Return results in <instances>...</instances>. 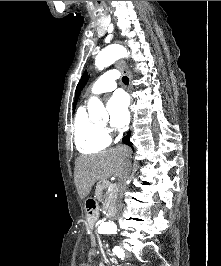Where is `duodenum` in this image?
<instances>
[{
    "instance_id": "obj_1",
    "label": "duodenum",
    "mask_w": 221,
    "mask_h": 266,
    "mask_svg": "<svg viewBox=\"0 0 221 266\" xmlns=\"http://www.w3.org/2000/svg\"><path fill=\"white\" fill-rule=\"evenodd\" d=\"M86 208L88 211V226L92 227L95 223V201L93 199L87 200ZM118 211L117 207H108V216H115Z\"/></svg>"
}]
</instances>
